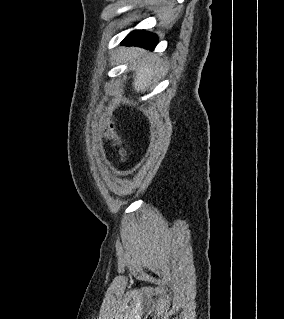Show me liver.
Returning a JSON list of instances; mask_svg holds the SVG:
<instances>
[{
	"instance_id": "obj_1",
	"label": "liver",
	"mask_w": 284,
	"mask_h": 319,
	"mask_svg": "<svg viewBox=\"0 0 284 319\" xmlns=\"http://www.w3.org/2000/svg\"><path fill=\"white\" fill-rule=\"evenodd\" d=\"M141 50L136 49V52H134V57H138ZM153 78V67L149 63V61L142 60L139 62L136 73L133 77V87L136 91H145L148 87L151 79Z\"/></svg>"
}]
</instances>
